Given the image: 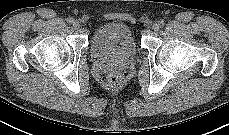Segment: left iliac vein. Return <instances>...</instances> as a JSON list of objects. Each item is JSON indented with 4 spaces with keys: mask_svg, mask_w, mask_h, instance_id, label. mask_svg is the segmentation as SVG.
<instances>
[{
    "mask_svg": "<svg viewBox=\"0 0 229 135\" xmlns=\"http://www.w3.org/2000/svg\"><path fill=\"white\" fill-rule=\"evenodd\" d=\"M159 28H160L159 23H154V24L152 25V30L155 31V32H157V31L159 30Z\"/></svg>",
    "mask_w": 229,
    "mask_h": 135,
    "instance_id": "1",
    "label": "left iliac vein"
}]
</instances>
